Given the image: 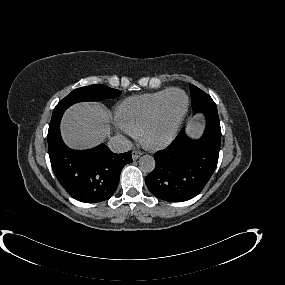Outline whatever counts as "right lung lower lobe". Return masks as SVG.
<instances>
[{
  "label": "right lung lower lobe",
  "mask_w": 285,
  "mask_h": 285,
  "mask_svg": "<svg viewBox=\"0 0 285 285\" xmlns=\"http://www.w3.org/2000/svg\"><path fill=\"white\" fill-rule=\"evenodd\" d=\"M63 113L52 115L48 130L49 157L57 179L78 201L109 199L119 184L122 168L133 161L131 151L115 154L104 144L89 150L68 148L60 135Z\"/></svg>",
  "instance_id": "1"
}]
</instances>
